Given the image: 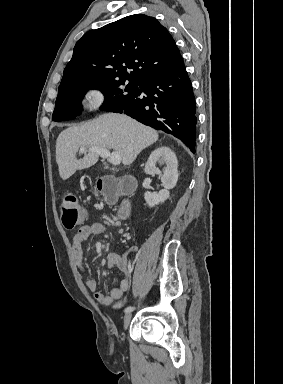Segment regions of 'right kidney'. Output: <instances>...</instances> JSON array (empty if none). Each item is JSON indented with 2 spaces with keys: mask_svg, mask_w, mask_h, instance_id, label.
I'll list each match as a JSON object with an SVG mask.
<instances>
[{
  "mask_svg": "<svg viewBox=\"0 0 283 384\" xmlns=\"http://www.w3.org/2000/svg\"><path fill=\"white\" fill-rule=\"evenodd\" d=\"M157 164L159 166H165L163 172L157 168ZM178 162L177 158L167 146H161V148H157L152 152L151 156L148 158V162L144 168L146 174L149 176H154V174H158L161 178V182L164 186V190H160L159 194H151V192H145L144 198L150 206V208H154L160 202H165L169 198V190H172L174 186H176L178 182Z\"/></svg>",
  "mask_w": 283,
  "mask_h": 384,
  "instance_id": "right-kidney-1",
  "label": "right kidney"
}]
</instances>
